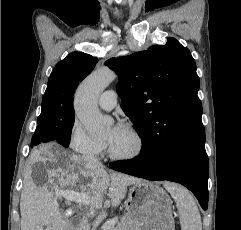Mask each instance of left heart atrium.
<instances>
[{
	"instance_id": "1",
	"label": "left heart atrium",
	"mask_w": 241,
	"mask_h": 230,
	"mask_svg": "<svg viewBox=\"0 0 241 230\" xmlns=\"http://www.w3.org/2000/svg\"><path fill=\"white\" fill-rule=\"evenodd\" d=\"M122 127H123V125H121V124L116 125L114 127V134H117L121 130Z\"/></svg>"
}]
</instances>
